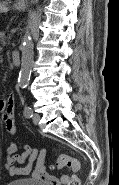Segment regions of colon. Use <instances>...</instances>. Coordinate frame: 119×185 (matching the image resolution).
I'll list each match as a JSON object with an SVG mask.
<instances>
[{
    "mask_svg": "<svg viewBox=\"0 0 119 185\" xmlns=\"http://www.w3.org/2000/svg\"><path fill=\"white\" fill-rule=\"evenodd\" d=\"M56 168H64V167H69L72 169L74 174H72L66 185H80V180L77 176V172L80 170V162L76 158L70 157L69 155L66 154H60L55 163Z\"/></svg>",
    "mask_w": 119,
    "mask_h": 185,
    "instance_id": "1",
    "label": "colon"
}]
</instances>
